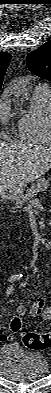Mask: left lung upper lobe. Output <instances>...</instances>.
Listing matches in <instances>:
<instances>
[{
	"mask_svg": "<svg viewBox=\"0 0 51 393\" xmlns=\"http://www.w3.org/2000/svg\"><path fill=\"white\" fill-rule=\"evenodd\" d=\"M27 66L33 74L51 81V41L28 54Z\"/></svg>",
	"mask_w": 51,
	"mask_h": 393,
	"instance_id": "5c2ea615",
	"label": "left lung upper lobe"
}]
</instances>
